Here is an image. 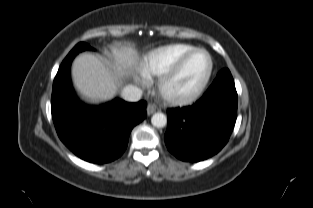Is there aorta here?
<instances>
[{
	"mask_svg": "<svg viewBox=\"0 0 313 208\" xmlns=\"http://www.w3.org/2000/svg\"><path fill=\"white\" fill-rule=\"evenodd\" d=\"M151 123L157 128H163L167 124V117L163 113H155L151 118Z\"/></svg>",
	"mask_w": 313,
	"mask_h": 208,
	"instance_id": "aorta-1",
	"label": "aorta"
}]
</instances>
